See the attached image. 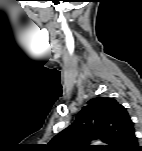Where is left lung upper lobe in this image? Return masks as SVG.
<instances>
[{
  "instance_id": "obj_1",
  "label": "left lung upper lobe",
  "mask_w": 142,
  "mask_h": 151,
  "mask_svg": "<svg viewBox=\"0 0 142 151\" xmlns=\"http://www.w3.org/2000/svg\"><path fill=\"white\" fill-rule=\"evenodd\" d=\"M134 129L126 110L115 99L97 97L87 102L72 125L56 135L48 144L54 151L90 150L87 143L100 139L107 143L101 150L115 151L123 137Z\"/></svg>"
}]
</instances>
